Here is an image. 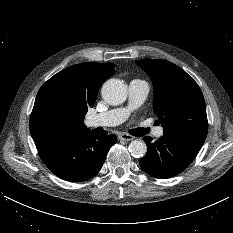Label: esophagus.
Wrapping results in <instances>:
<instances>
[{
    "label": "esophagus",
    "instance_id": "obj_1",
    "mask_svg": "<svg viewBox=\"0 0 233 233\" xmlns=\"http://www.w3.org/2000/svg\"><path fill=\"white\" fill-rule=\"evenodd\" d=\"M119 139L122 141H131L134 139V137L129 134L122 133L119 135Z\"/></svg>",
    "mask_w": 233,
    "mask_h": 233
}]
</instances>
